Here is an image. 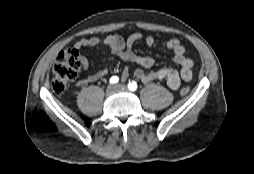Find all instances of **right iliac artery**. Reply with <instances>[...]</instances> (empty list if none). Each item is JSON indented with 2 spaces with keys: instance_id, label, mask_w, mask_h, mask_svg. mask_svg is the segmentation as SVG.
<instances>
[{
  "instance_id": "right-iliac-artery-1",
  "label": "right iliac artery",
  "mask_w": 254,
  "mask_h": 174,
  "mask_svg": "<svg viewBox=\"0 0 254 174\" xmlns=\"http://www.w3.org/2000/svg\"><path fill=\"white\" fill-rule=\"evenodd\" d=\"M119 81V78L117 76H113L110 78V83L115 84Z\"/></svg>"
}]
</instances>
